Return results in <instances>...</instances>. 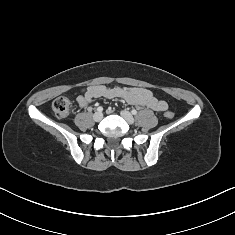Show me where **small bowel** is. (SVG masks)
Wrapping results in <instances>:
<instances>
[{"instance_id":"obj_1","label":"small bowel","mask_w":235,"mask_h":235,"mask_svg":"<svg viewBox=\"0 0 235 235\" xmlns=\"http://www.w3.org/2000/svg\"><path fill=\"white\" fill-rule=\"evenodd\" d=\"M96 98L122 99L128 104L149 108L158 113L165 112L168 109L166 101L155 97L150 90L140 87L92 85L83 90L76 100L80 107H86Z\"/></svg>"}]
</instances>
